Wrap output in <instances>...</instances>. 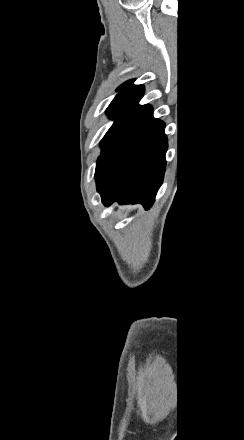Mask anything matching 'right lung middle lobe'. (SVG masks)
<instances>
[{"label": "right lung middle lobe", "mask_w": 244, "mask_h": 440, "mask_svg": "<svg viewBox=\"0 0 244 440\" xmlns=\"http://www.w3.org/2000/svg\"><path fill=\"white\" fill-rule=\"evenodd\" d=\"M138 101V99H114L111 102L106 112L110 118L115 119V122L106 133L101 142V145H103L104 141L106 140L112 129L115 127V125L137 105Z\"/></svg>", "instance_id": "obj_1"}]
</instances>
